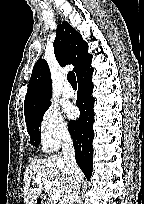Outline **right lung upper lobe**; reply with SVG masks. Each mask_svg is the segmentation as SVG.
<instances>
[{
	"mask_svg": "<svg viewBox=\"0 0 144 204\" xmlns=\"http://www.w3.org/2000/svg\"><path fill=\"white\" fill-rule=\"evenodd\" d=\"M54 53L62 67L74 65L73 71L77 77L91 67L92 55L88 53V44L68 22H63L57 27ZM50 92V69L45 60L39 59L33 67L28 84L24 102L25 119L50 103Z\"/></svg>",
	"mask_w": 144,
	"mask_h": 204,
	"instance_id": "obj_1",
	"label": "right lung upper lobe"
}]
</instances>
